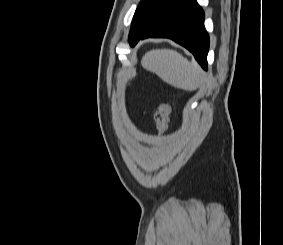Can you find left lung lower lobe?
<instances>
[{
    "label": "left lung lower lobe",
    "mask_w": 283,
    "mask_h": 245,
    "mask_svg": "<svg viewBox=\"0 0 283 245\" xmlns=\"http://www.w3.org/2000/svg\"><path fill=\"white\" fill-rule=\"evenodd\" d=\"M148 37L170 38L187 48L207 70L209 36L204 27V12L196 0H175L145 32L131 43Z\"/></svg>",
    "instance_id": "0a47b994"
}]
</instances>
